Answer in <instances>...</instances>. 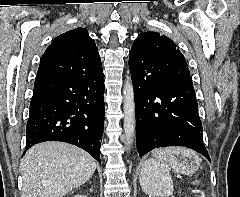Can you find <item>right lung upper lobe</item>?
Returning a JSON list of instances; mask_svg holds the SVG:
<instances>
[{
	"mask_svg": "<svg viewBox=\"0 0 240 197\" xmlns=\"http://www.w3.org/2000/svg\"><path fill=\"white\" fill-rule=\"evenodd\" d=\"M102 70L98 48L85 28L56 37L40 61L36 82L53 78H79Z\"/></svg>",
	"mask_w": 240,
	"mask_h": 197,
	"instance_id": "1",
	"label": "right lung upper lobe"
}]
</instances>
